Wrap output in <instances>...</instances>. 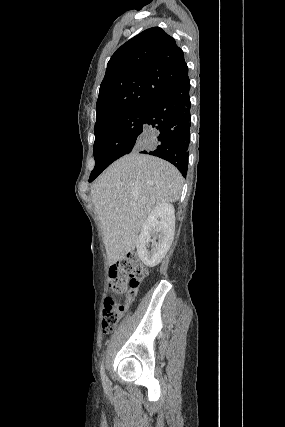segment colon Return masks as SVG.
Returning <instances> with one entry per match:
<instances>
[{
    "mask_svg": "<svg viewBox=\"0 0 285 427\" xmlns=\"http://www.w3.org/2000/svg\"><path fill=\"white\" fill-rule=\"evenodd\" d=\"M146 273L145 266L136 257L122 259L111 266L108 276L109 289L112 293L104 302L102 319L104 334L114 330L126 310V304L120 297L125 294L132 296Z\"/></svg>",
    "mask_w": 285,
    "mask_h": 427,
    "instance_id": "5ec220e1",
    "label": "colon"
}]
</instances>
